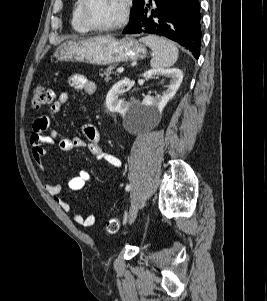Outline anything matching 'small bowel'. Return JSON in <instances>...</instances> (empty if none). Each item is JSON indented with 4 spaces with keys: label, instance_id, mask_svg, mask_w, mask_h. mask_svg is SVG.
Wrapping results in <instances>:
<instances>
[{
    "label": "small bowel",
    "instance_id": "obj_1",
    "mask_svg": "<svg viewBox=\"0 0 267 301\" xmlns=\"http://www.w3.org/2000/svg\"><path fill=\"white\" fill-rule=\"evenodd\" d=\"M69 85L72 89L76 91H82L86 95H93L96 91L95 83L80 74H74L70 76ZM68 100L69 93L67 91L62 92L52 106L51 112L38 117L33 123L30 144L33 158L39 169L43 172L45 171L43 160L47 153L46 147L54 145L55 141H57V145L62 151L67 152L73 148L85 147L95 158L104 160L110 165L119 168L121 166L120 159L113 154L107 153L103 149L101 145L100 133L94 125H83L82 131L84 138H69L66 136H61L56 130L51 129L52 115L57 113ZM90 178L91 175L88 171L80 170L77 175L73 176L69 180L68 187L73 191L81 190L90 181ZM45 189L51 196L54 197L57 205L63 211H70L71 208L69 203L59 196L61 192V185L59 183H46ZM73 221L84 227H92L95 224V217L93 215L83 216L80 213H74Z\"/></svg>",
    "mask_w": 267,
    "mask_h": 301
}]
</instances>
